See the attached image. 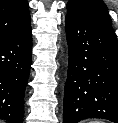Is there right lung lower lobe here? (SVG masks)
I'll return each mask as SVG.
<instances>
[{
  "label": "right lung lower lobe",
  "mask_w": 118,
  "mask_h": 123,
  "mask_svg": "<svg viewBox=\"0 0 118 123\" xmlns=\"http://www.w3.org/2000/svg\"><path fill=\"white\" fill-rule=\"evenodd\" d=\"M31 55V26L0 38V117L10 123H22L23 120Z\"/></svg>",
  "instance_id": "98d812e1"
}]
</instances>
